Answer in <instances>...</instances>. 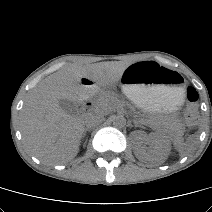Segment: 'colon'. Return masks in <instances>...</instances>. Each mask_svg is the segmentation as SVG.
Instances as JSON below:
<instances>
[{
	"label": "colon",
	"instance_id": "obj_1",
	"mask_svg": "<svg viewBox=\"0 0 212 212\" xmlns=\"http://www.w3.org/2000/svg\"><path fill=\"white\" fill-rule=\"evenodd\" d=\"M185 119L188 125H195L198 121V93L196 90L188 86L185 90Z\"/></svg>",
	"mask_w": 212,
	"mask_h": 212
}]
</instances>
